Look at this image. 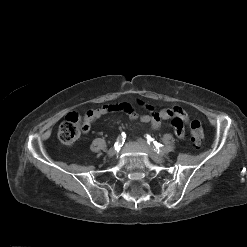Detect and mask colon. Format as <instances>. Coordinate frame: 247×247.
I'll use <instances>...</instances> for the list:
<instances>
[{
  "mask_svg": "<svg viewBox=\"0 0 247 247\" xmlns=\"http://www.w3.org/2000/svg\"><path fill=\"white\" fill-rule=\"evenodd\" d=\"M84 129V121L78 113H70L61 123L58 130V138L65 145L74 144ZM190 139L195 147H200L204 140V130L201 123L192 119L190 121Z\"/></svg>",
  "mask_w": 247,
  "mask_h": 247,
  "instance_id": "colon-1",
  "label": "colon"
}]
</instances>
